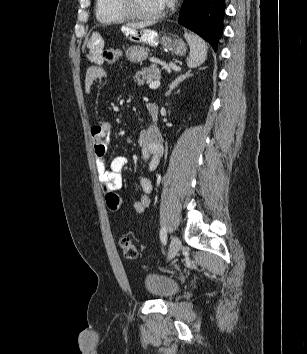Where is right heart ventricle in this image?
Listing matches in <instances>:
<instances>
[{
	"instance_id": "1",
	"label": "right heart ventricle",
	"mask_w": 307,
	"mask_h": 354,
	"mask_svg": "<svg viewBox=\"0 0 307 354\" xmlns=\"http://www.w3.org/2000/svg\"><path fill=\"white\" fill-rule=\"evenodd\" d=\"M95 16L96 19L103 24H114L126 20L116 9L114 0H96Z\"/></svg>"
}]
</instances>
